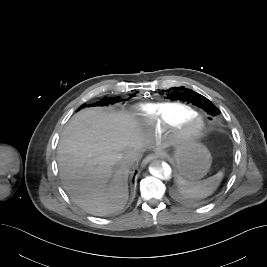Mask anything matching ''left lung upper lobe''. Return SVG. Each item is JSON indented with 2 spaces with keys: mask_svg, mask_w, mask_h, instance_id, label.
I'll return each mask as SVG.
<instances>
[{
  "mask_svg": "<svg viewBox=\"0 0 267 267\" xmlns=\"http://www.w3.org/2000/svg\"><path fill=\"white\" fill-rule=\"evenodd\" d=\"M168 98L172 102H179L180 100L191 102L204 109L212 117L220 113V110L210 100L198 94V91L194 87H172L168 91Z\"/></svg>",
  "mask_w": 267,
  "mask_h": 267,
  "instance_id": "left-lung-upper-lobe-1",
  "label": "left lung upper lobe"
}]
</instances>
